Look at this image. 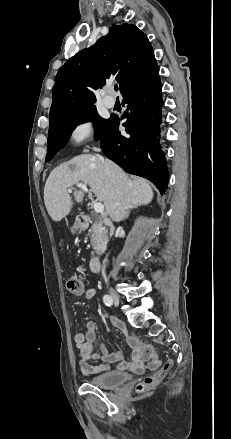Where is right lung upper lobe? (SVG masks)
<instances>
[{
    "instance_id": "obj_1",
    "label": "right lung upper lobe",
    "mask_w": 231,
    "mask_h": 439,
    "mask_svg": "<svg viewBox=\"0 0 231 439\" xmlns=\"http://www.w3.org/2000/svg\"><path fill=\"white\" fill-rule=\"evenodd\" d=\"M159 69L148 38L135 26L113 25L95 45L70 58L56 75L50 125L95 107L93 90L115 76L124 96Z\"/></svg>"
}]
</instances>
